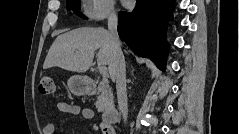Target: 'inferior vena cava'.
<instances>
[{"label":"inferior vena cava","mask_w":239,"mask_h":134,"mask_svg":"<svg viewBox=\"0 0 239 134\" xmlns=\"http://www.w3.org/2000/svg\"><path fill=\"white\" fill-rule=\"evenodd\" d=\"M118 20L114 10L108 14V30L113 43V60L109 66L110 75L116 80L118 107L122 113L124 122L128 116V101L126 92V65L121 43L117 32Z\"/></svg>","instance_id":"inferior-vena-cava-1"}]
</instances>
